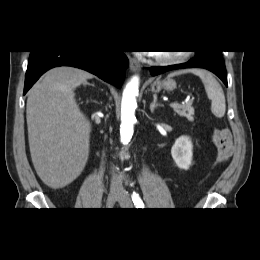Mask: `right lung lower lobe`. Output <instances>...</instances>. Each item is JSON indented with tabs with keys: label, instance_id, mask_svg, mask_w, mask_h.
<instances>
[{
	"label": "right lung lower lobe",
	"instance_id": "obj_1",
	"mask_svg": "<svg viewBox=\"0 0 260 260\" xmlns=\"http://www.w3.org/2000/svg\"><path fill=\"white\" fill-rule=\"evenodd\" d=\"M57 66L84 69L119 88L125 78L128 59L122 51H31L23 94L43 73Z\"/></svg>",
	"mask_w": 260,
	"mask_h": 260
}]
</instances>
